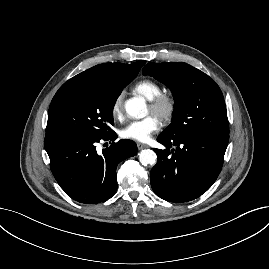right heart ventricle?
Segmentation results:
<instances>
[{"label":"right heart ventricle","instance_id":"right-heart-ventricle-1","mask_svg":"<svg viewBox=\"0 0 269 269\" xmlns=\"http://www.w3.org/2000/svg\"><path fill=\"white\" fill-rule=\"evenodd\" d=\"M133 91L150 101L161 93V87L153 80L141 79L133 85Z\"/></svg>","mask_w":269,"mask_h":269}]
</instances>
